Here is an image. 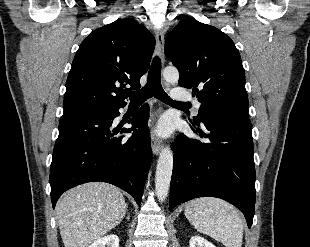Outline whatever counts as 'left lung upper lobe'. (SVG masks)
<instances>
[{
	"mask_svg": "<svg viewBox=\"0 0 310 247\" xmlns=\"http://www.w3.org/2000/svg\"><path fill=\"white\" fill-rule=\"evenodd\" d=\"M165 55L179 71V85L193 88L201 103L197 124L226 115L248 118L244 68L225 33L196 20H181L166 38Z\"/></svg>",
	"mask_w": 310,
	"mask_h": 247,
	"instance_id": "5c2ea615",
	"label": "left lung upper lobe"
}]
</instances>
